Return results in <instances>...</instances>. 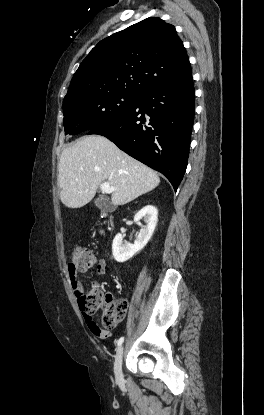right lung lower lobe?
Listing matches in <instances>:
<instances>
[{"label": "right lung lower lobe", "mask_w": 264, "mask_h": 415, "mask_svg": "<svg viewBox=\"0 0 264 415\" xmlns=\"http://www.w3.org/2000/svg\"><path fill=\"white\" fill-rule=\"evenodd\" d=\"M192 74L142 93L134 107L88 132L161 172L178 188L188 162L194 120Z\"/></svg>", "instance_id": "1"}]
</instances>
